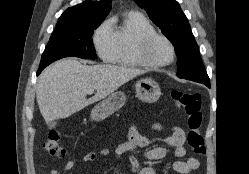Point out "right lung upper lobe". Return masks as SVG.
Returning <instances> with one entry per match:
<instances>
[{"mask_svg": "<svg viewBox=\"0 0 249 174\" xmlns=\"http://www.w3.org/2000/svg\"><path fill=\"white\" fill-rule=\"evenodd\" d=\"M111 10L110 0L86 1L68 8L59 18L55 31L84 26L90 22L103 21Z\"/></svg>", "mask_w": 249, "mask_h": 174, "instance_id": "right-lung-upper-lobe-1", "label": "right lung upper lobe"}]
</instances>
